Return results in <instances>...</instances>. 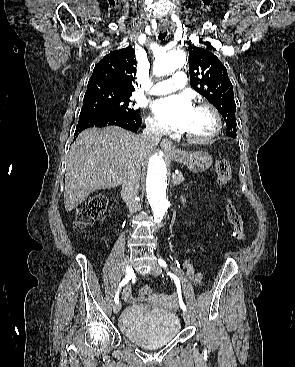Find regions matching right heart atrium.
Listing matches in <instances>:
<instances>
[{
    "label": "right heart atrium",
    "mask_w": 295,
    "mask_h": 367,
    "mask_svg": "<svg viewBox=\"0 0 295 367\" xmlns=\"http://www.w3.org/2000/svg\"><path fill=\"white\" fill-rule=\"evenodd\" d=\"M146 127L155 135H162L166 131L165 127L153 116H148L146 118Z\"/></svg>",
    "instance_id": "1"
}]
</instances>
